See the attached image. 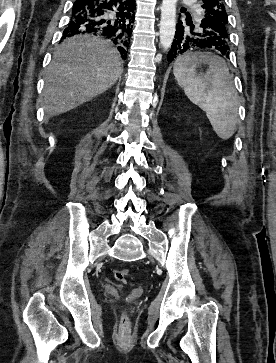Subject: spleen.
Wrapping results in <instances>:
<instances>
[{"label": "spleen", "mask_w": 276, "mask_h": 363, "mask_svg": "<svg viewBox=\"0 0 276 363\" xmlns=\"http://www.w3.org/2000/svg\"><path fill=\"white\" fill-rule=\"evenodd\" d=\"M199 63L207 64L208 70L196 75ZM173 72L188 99L205 111L218 137L228 140L236 131L238 95L226 62L213 53H190L175 61Z\"/></svg>", "instance_id": "1"}]
</instances>
